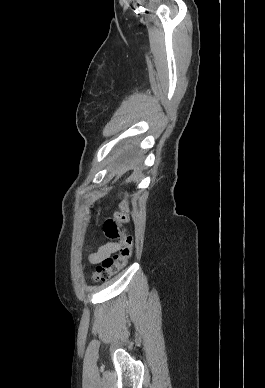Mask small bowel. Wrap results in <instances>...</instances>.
Masks as SVG:
<instances>
[{
    "label": "small bowel",
    "instance_id": "1",
    "mask_svg": "<svg viewBox=\"0 0 265 388\" xmlns=\"http://www.w3.org/2000/svg\"><path fill=\"white\" fill-rule=\"evenodd\" d=\"M120 248V244L116 242H109L101 246L95 253L89 256V261L91 263H100L106 257H109L111 254L117 252Z\"/></svg>",
    "mask_w": 265,
    "mask_h": 388
}]
</instances>
